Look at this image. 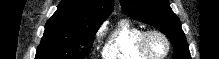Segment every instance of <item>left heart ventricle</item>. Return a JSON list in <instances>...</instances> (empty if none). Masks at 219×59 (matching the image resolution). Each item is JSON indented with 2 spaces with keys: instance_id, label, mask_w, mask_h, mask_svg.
Segmentation results:
<instances>
[{
  "instance_id": "1",
  "label": "left heart ventricle",
  "mask_w": 219,
  "mask_h": 59,
  "mask_svg": "<svg viewBox=\"0 0 219 59\" xmlns=\"http://www.w3.org/2000/svg\"><path fill=\"white\" fill-rule=\"evenodd\" d=\"M148 47L150 51L155 55H161L166 50L164 41L158 36H152L149 38Z\"/></svg>"
}]
</instances>
